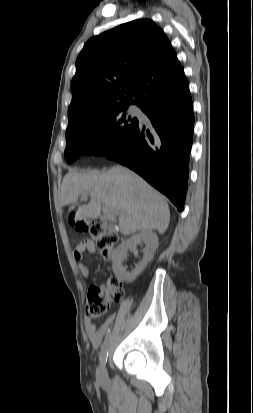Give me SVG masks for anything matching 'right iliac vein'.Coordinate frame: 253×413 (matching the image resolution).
<instances>
[{
  "label": "right iliac vein",
  "instance_id": "63e3f726",
  "mask_svg": "<svg viewBox=\"0 0 253 413\" xmlns=\"http://www.w3.org/2000/svg\"><path fill=\"white\" fill-rule=\"evenodd\" d=\"M97 379L101 382H105L108 379L105 366L101 365L97 370Z\"/></svg>",
  "mask_w": 253,
  "mask_h": 413
}]
</instances>
